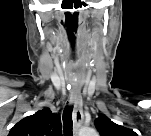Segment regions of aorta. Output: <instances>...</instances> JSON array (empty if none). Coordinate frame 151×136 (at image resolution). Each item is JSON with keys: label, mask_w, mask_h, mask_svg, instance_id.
I'll return each instance as SVG.
<instances>
[{"label": "aorta", "mask_w": 151, "mask_h": 136, "mask_svg": "<svg viewBox=\"0 0 151 136\" xmlns=\"http://www.w3.org/2000/svg\"><path fill=\"white\" fill-rule=\"evenodd\" d=\"M88 134L95 136L96 132H89Z\"/></svg>", "instance_id": "762f6f07"}]
</instances>
